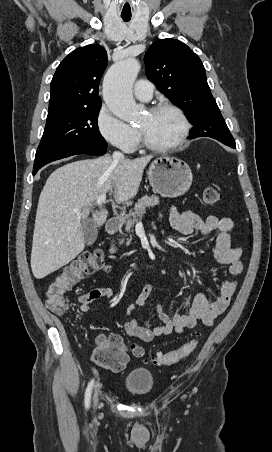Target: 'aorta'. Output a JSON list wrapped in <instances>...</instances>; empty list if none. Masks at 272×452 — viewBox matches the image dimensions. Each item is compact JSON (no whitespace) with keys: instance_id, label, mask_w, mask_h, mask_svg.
Wrapping results in <instances>:
<instances>
[{"instance_id":"1","label":"aorta","mask_w":272,"mask_h":452,"mask_svg":"<svg viewBox=\"0 0 272 452\" xmlns=\"http://www.w3.org/2000/svg\"><path fill=\"white\" fill-rule=\"evenodd\" d=\"M140 63L128 58L114 64L103 81V99L109 110L119 119L132 121L138 116L132 86L140 71Z\"/></svg>"}]
</instances>
